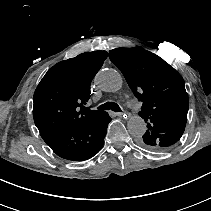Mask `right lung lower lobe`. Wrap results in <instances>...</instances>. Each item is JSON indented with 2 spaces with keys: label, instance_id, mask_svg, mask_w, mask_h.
I'll use <instances>...</instances> for the list:
<instances>
[{
  "label": "right lung lower lobe",
  "instance_id": "right-lung-lower-lobe-1",
  "mask_svg": "<svg viewBox=\"0 0 211 211\" xmlns=\"http://www.w3.org/2000/svg\"><path fill=\"white\" fill-rule=\"evenodd\" d=\"M110 121L108 113L102 111L81 125L66 128L43 140L63 159L87 160L102 148Z\"/></svg>",
  "mask_w": 211,
  "mask_h": 211
}]
</instances>
